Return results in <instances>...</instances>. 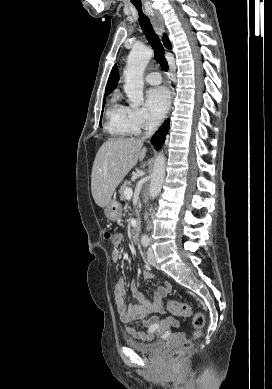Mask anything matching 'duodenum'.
I'll use <instances>...</instances> for the list:
<instances>
[{"instance_id": "1", "label": "duodenum", "mask_w": 272, "mask_h": 389, "mask_svg": "<svg viewBox=\"0 0 272 389\" xmlns=\"http://www.w3.org/2000/svg\"><path fill=\"white\" fill-rule=\"evenodd\" d=\"M140 230H141V227H140V224L139 223H136L132 229H131V238L133 240V242L137 243L139 241V238H140Z\"/></svg>"}]
</instances>
